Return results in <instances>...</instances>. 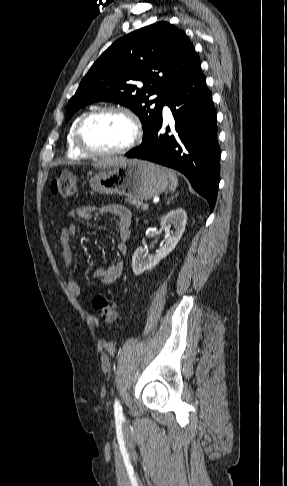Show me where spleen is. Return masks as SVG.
Instances as JSON below:
<instances>
[{"mask_svg": "<svg viewBox=\"0 0 287 486\" xmlns=\"http://www.w3.org/2000/svg\"><path fill=\"white\" fill-rule=\"evenodd\" d=\"M167 173L171 182L170 189L174 191L178 185V178L171 170H168Z\"/></svg>", "mask_w": 287, "mask_h": 486, "instance_id": "1", "label": "spleen"}]
</instances>
